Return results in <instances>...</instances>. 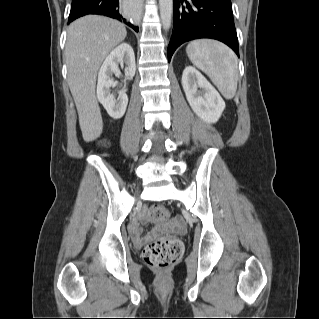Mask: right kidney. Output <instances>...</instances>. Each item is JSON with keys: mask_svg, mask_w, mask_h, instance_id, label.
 Wrapping results in <instances>:
<instances>
[{"mask_svg": "<svg viewBox=\"0 0 319 319\" xmlns=\"http://www.w3.org/2000/svg\"><path fill=\"white\" fill-rule=\"evenodd\" d=\"M123 63L126 65V79L132 78L136 71L135 55L133 48L127 43H122L111 51L98 73L97 98L107 113L114 119H119L125 114L128 104L125 89L118 92L117 100L110 92V88L114 85L112 75L120 73L118 64L122 65Z\"/></svg>", "mask_w": 319, "mask_h": 319, "instance_id": "right-kidney-1", "label": "right kidney"}]
</instances>
